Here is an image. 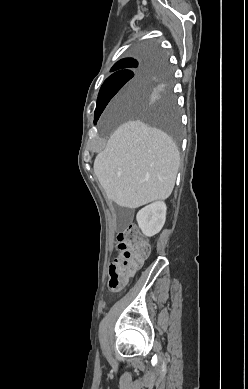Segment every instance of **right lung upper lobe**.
<instances>
[{"instance_id": "1", "label": "right lung upper lobe", "mask_w": 248, "mask_h": 389, "mask_svg": "<svg viewBox=\"0 0 248 389\" xmlns=\"http://www.w3.org/2000/svg\"><path fill=\"white\" fill-rule=\"evenodd\" d=\"M161 54L159 50H152L147 54V58H140L138 61L133 58H126L118 61L111 69V71L119 70L125 67H128L133 64H150L152 67H155V59Z\"/></svg>"}]
</instances>
